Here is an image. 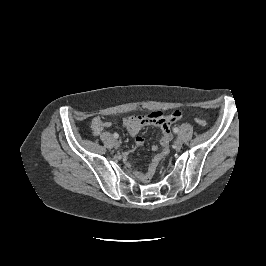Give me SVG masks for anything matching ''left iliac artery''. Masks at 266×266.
Wrapping results in <instances>:
<instances>
[{
    "label": "left iliac artery",
    "instance_id": "left-iliac-artery-1",
    "mask_svg": "<svg viewBox=\"0 0 266 266\" xmlns=\"http://www.w3.org/2000/svg\"><path fill=\"white\" fill-rule=\"evenodd\" d=\"M173 132L174 133H178L179 132V129L177 127L173 128Z\"/></svg>",
    "mask_w": 266,
    "mask_h": 266
}]
</instances>
